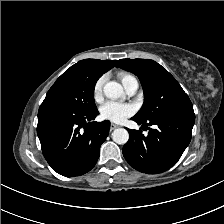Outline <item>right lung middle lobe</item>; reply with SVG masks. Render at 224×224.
Wrapping results in <instances>:
<instances>
[{"label": "right lung middle lobe", "mask_w": 224, "mask_h": 224, "mask_svg": "<svg viewBox=\"0 0 224 224\" xmlns=\"http://www.w3.org/2000/svg\"><path fill=\"white\" fill-rule=\"evenodd\" d=\"M101 75V72L79 61L56 80L44 101L80 112H94L97 110L94 103V87Z\"/></svg>", "instance_id": "right-lung-middle-lobe-1"}]
</instances>
